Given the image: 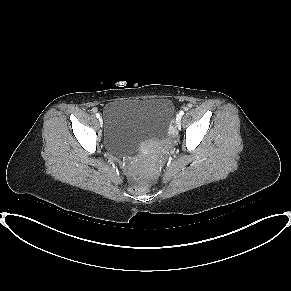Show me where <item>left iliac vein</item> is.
Listing matches in <instances>:
<instances>
[{"mask_svg":"<svg viewBox=\"0 0 291 291\" xmlns=\"http://www.w3.org/2000/svg\"><path fill=\"white\" fill-rule=\"evenodd\" d=\"M176 125H177V127L181 126V116L180 115H177V117H176Z\"/></svg>","mask_w":291,"mask_h":291,"instance_id":"left-iliac-vein-1","label":"left iliac vein"}]
</instances>
